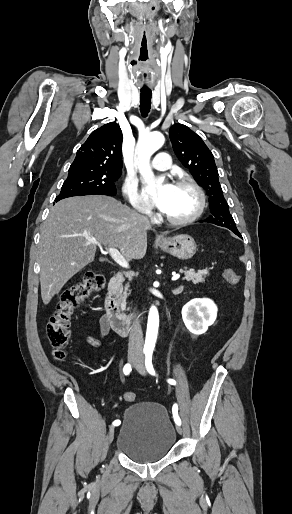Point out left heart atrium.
Segmentation results:
<instances>
[{
	"label": "left heart atrium",
	"mask_w": 292,
	"mask_h": 514,
	"mask_svg": "<svg viewBox=\"0 0 292 514\" xmlns=\"http://www.w3.org/2000/svg\"><path fill=\"white\" fill-rule=\"evenodd\" d=\"M175 190V185L166 182L156 189L146 188L145 194L149 203L156 208L164 210Z\"/></svg>",
	"instance_id": "39dd6f15"
}]
</instances>
